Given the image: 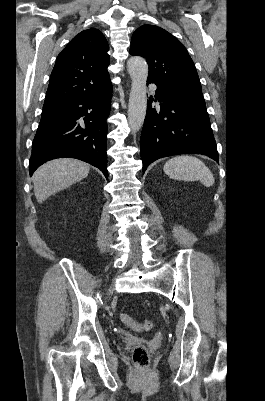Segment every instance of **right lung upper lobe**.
I'll return each instance as SVG.
<instances>
[{
	"mask_svg": "<svg viewBox=\"0 0 265 401\" xmlns=\"http://www.w3.org/2000/svg\"><path fill=\"white\" fill-rule=\"evenodd\" d=\"M108 43L97 29L84 30L60 52L43 108L99 92L110 83Z\"/></svg>",
	"mask_w": 265,
	"mask_h": 401,
	"instance_id": "right-lung-upper-lobe-1",
	"label": "right lung upper lobe"
}]
</instances>
